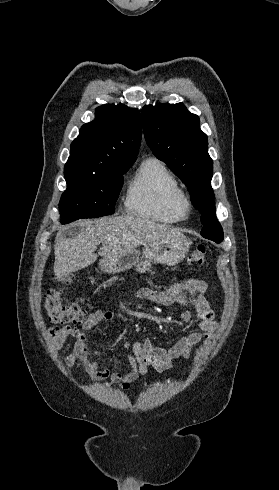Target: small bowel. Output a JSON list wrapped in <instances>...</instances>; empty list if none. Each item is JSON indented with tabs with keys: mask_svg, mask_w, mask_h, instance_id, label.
<instances>
[{
	"mask_svg": "<svg viewBox=\"0 0 279 490\" xmlns=\"http://www.w3.org/2000/svg\"><path fill=\"white\" fill-rule=\"evenodd\" d=\"M206 291V282L200 279L188 278L173 284L166 290L142 288L136 293L135 298L138 300H147L163 306L172 304L192 305L200 320V330L192 331L182 336L168 350L155 345L149 339L143 342L125 341L121 346V350L124 352L130 351L127 355V362L131 367L130 371L126 373H110L107 368L98 369V364L94 359L116 355L92 349L88 345L85 334L86 331L91 330L98 323L113 320L115 312L112 310L99 309L91 312L80 327H53L49 331L50 341L54 348L60 349L68 339L72 338L74 340L73 350L71 354L63 358L66 366L72 367L75 364H79L92 379H109L112 383L128 389L133 381L147 374L150 368L162 372L169 370L175 360L179 358L188 359L192 350L201 340L208 338L214 333L217 328V321L215 313L204 295ZM130 306L131 302H127L124 308H129ZM181 318L188 320L190 314L182 312Z\"/></svg>",
	"mask_w": 279,
	"mask_h": 490,
	"instance_id": "small-bowel-1",
	"label": "small bowel"
}]
</instances>
